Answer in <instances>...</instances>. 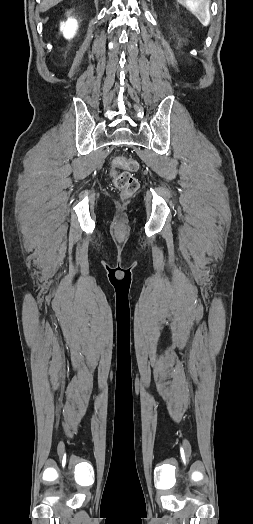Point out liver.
I'll return each mask as SVG.
<instances>
[{
	"label": "liver",
	"mask_w": 253,
	"mask_h": 524,
	"mask_svg": "<svg viewBox=\"0 0 253 524\" xmlns=\"http://www.w3.org/2000/svg\"><path fill=\"white\" fill-rule=\"evenodd\" d=\"M63 0H42V3L40 5L41 11H47L51 7L57 5L58 3L62 2Z\"/></svg>",
	"instance_id": "obj_1"
}]
</instances>
